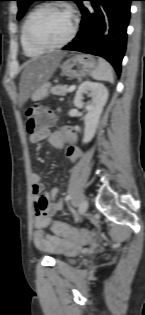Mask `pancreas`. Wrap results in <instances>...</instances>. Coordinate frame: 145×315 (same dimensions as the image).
I'll use <instances>...</instances> for the list:
<instances>
[{"instance_id":"pancreas-1","label":"pancreas","mask_w":145,"mask_h":315,"mask_svg":"<svg viewBox=\"0 0 145 315\" xmlns=\"http://www.w3.org/2000/svg\"><path fill=\"white\" fill-rule=\"evenodd\" d=\"M68 90L67 85H56L49 89V93L53 95H65Z\"/></svg>"}]
</instances>
